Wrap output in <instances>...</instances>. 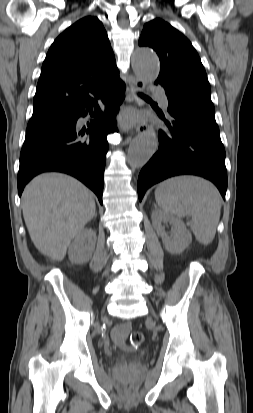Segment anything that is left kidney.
Wrapping results in <instances>:
<instances>
[{
	"label": "left kidney",
	"instance_id": "5707ae66",
	"mask_svg": "<svg viewBox=\"0 0 253 413\" xmlns=\"http://www.w3.org/2000/svg\"><path fill=\"white\" fill-rule=\"evenodd\" d=\"M169 222L172 225L171 234L165 232L162 222ZM152 224L158 236L161 237L167 251L172 254L182 253L192 242L191 233L186 229L185 224L161 210L152 212Z\"/></svg>",
	"mask_w": 253,
	"mask_h": 413
}]
</instances>
